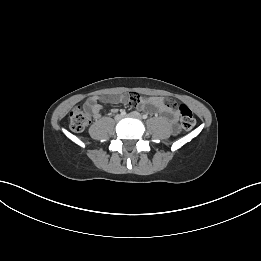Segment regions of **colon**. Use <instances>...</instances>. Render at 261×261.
<instances>
[{"mask_svg":"<svg viewBox=\"0 0 261 261\" xmlns=\"http://www.w3.org/2000/svg\"><path fill=\"white\" fill-rule=\"evenodd\" d=\"M165 101L168 105L172 106V102L169 99H165ZM178 110L180 113L182 128L184 130H191L196 124V119L192 110L185 104H181ZM91 118L92 116L89 111L77 106L72 109L69 115L70 128L75 132H81L90 123Z\"/></svg>","mask_w":261,"mask_h":261,"instance_id":"1","label":"colon"}]
</instances>
